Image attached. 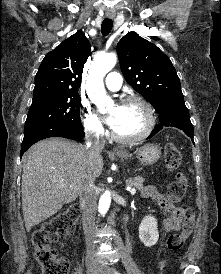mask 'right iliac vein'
I'll return each mask as SVG.
<instances>
[{
	"instance_id": "63e3f726",
	"label": "right iliac vein",
	"mask_w": 221,
	"mask_h": 274,
	"mask_svg": "<svg viewBox=\"0 0 221 274\" xmlns=\"http://www.w3.org/2000/svg\"><path fill=\"white\" fill-rule=\"evenodd\" d=\"M98 270L96 266H89L87 269V274H97Z\"/></svg>"
}]
</instances>
